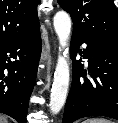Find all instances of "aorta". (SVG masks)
Returning a JSON list of instances; mask_svg holds the SVG:
<instances>
[{"label":"aorta","instance_id":"762f6f07","mask_svg":"<svg viewBox=\"0 0 118 123\" xmlns=\"http://www.w3.org/2000/svg\"><path fill=\"white\" fill-rule=\"evenodd\" d=\"M53 24L60 49L63 50V54L58 56L49 103L50 111L55 115L64 106L69 88L70 74L67 58L69 56L68 40L71 32V18L68 13L59 11L54 16Z\"/></svg>","mask_w":118,"mask_h":123}]
</instances>
